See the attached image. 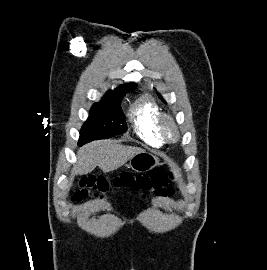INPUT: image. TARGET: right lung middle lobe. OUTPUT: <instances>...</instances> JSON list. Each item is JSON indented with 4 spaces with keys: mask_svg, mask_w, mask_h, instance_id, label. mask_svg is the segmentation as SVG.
<instances>
[{
    "mask_svg": "<svg viewBox=\"0 0 267 270\" xmlns=\"http://www.w3.org/2000/svg\"><path fill=\"white\" fill-rule=\"evenodd\" d=\"M133 89L120 93L107 92L99 103H94L89 118L81 128L79 145L126 132L127 124L120 103L122 97Z\"/></svg>",
    "mask_w": 267,
    "mask_h": 270,
    "instance_id": "dd1d6c3e",
    "label": "right lung middle lobe"
}]
</instances>
